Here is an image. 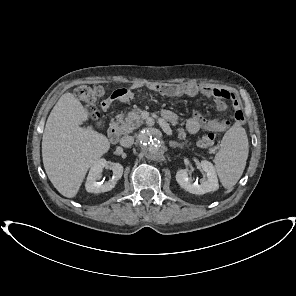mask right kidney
<instances>
[{"label":"right kidney","mask_w":296,"mask_h":296,"mask_svg":"<svg viewBox=\"0 0 296 296\" xmlns=\"http://www.w3.org/2000/svg\"><path fill=\"white\" fill-rule=\"evenodd\" d=\"M105 167H109L113 171V176L112 178L106 182H98L100 178V174L102 173L103 169ZM123 174V166L120 163H113V162H108L105 159H99L94 162L92 165L86 183H85V188L87 192L90 193H103L110 191L115 187L117 184V181L122 177Z\"/></svg>","instance_id":"obj_1"}]
</instances>
